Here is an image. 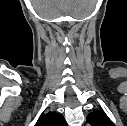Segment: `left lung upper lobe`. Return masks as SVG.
<instances>
[{"label": "left lung upper lobe", "mask_w": 127, "mask_h": 126, "mask_svg": "<svg viewBox=\"0 0 127 126\" xmlns=\"http://www.w3.org/2000/svg\"><path fill=\"white\" fill-rule=\"evenodd\" d=\"M87 122L91 126H115L102 110H95L88 114Z\"/></svg>", "instance_id": "obj_1"}]
</instances>
